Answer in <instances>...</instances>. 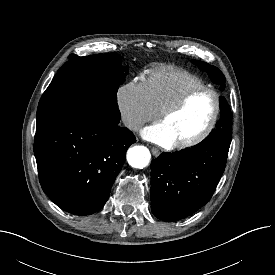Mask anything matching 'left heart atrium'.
Returning a JSON list of instances; mask_svg holds the SVG:
<instances>
[{
    "label": "left heart atrium",
    "mask_w": 275,
    "mask_h": 275,
    "mask_svg": "<svg viewBox=\"0 0 275 275\" xmlns=\"http://www.w3.org/2000/svg\"><path fill=\"white\" fill-rule=\"evenodd\" d=\"M141 134L146 140L164 147H170L175 144L174 138L161 122L144 128Z\"/></svg>",
    "instance_id": "left-heart-atrium-1"
}]
</instances>
